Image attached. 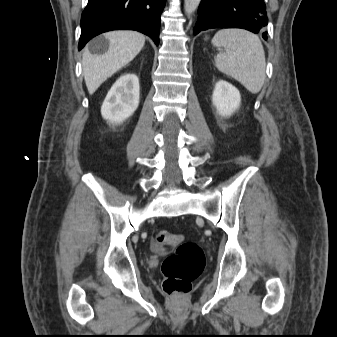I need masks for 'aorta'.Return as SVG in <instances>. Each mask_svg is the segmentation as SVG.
<instances>
[{
  "label": "aorta",
  "mask_w": 337,
  "mask_h": 337,
  "mask_svg": "<svg viewBox=\"0 0 337 337\" xmlns=\"http://www.w3.org/2000/svg\"><path fill=\"white\" fill-rule=\"evenodd\" d=\"M201 0H184V11L190 16L199 6Z\"/></svg>",
  "instance_id": "1"
}]
</instances>
